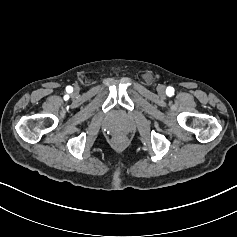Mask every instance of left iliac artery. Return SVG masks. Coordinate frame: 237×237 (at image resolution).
<instances>
[{
	"instance_id": "44dca946",
	"label": "left iliac artery",
	"mask_w": 237,
	"mask_h": 237,
	"mask_svg": "<svg viewBox=\"0 0 237 237\" xmlns=\"http://www.w3.org/2000/svg\"><path fill=\"white\" fill-rule=\"evenodd\" d=\"M166 94L168 95V96H172V95H174V88L173 87H167V89H166Z\"/></svg>"
}]
</instances>
